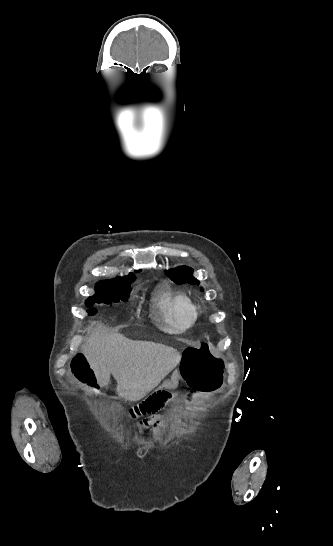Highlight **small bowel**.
<instances>
[{"label": "small bowel", "mask_w": 333, "mask_h": 546, "mask_svg": "<svg viewBox=\"0 0 333 546\" xmlns=\"http://www.w3.org/2000/svg\"><path fill=\"white\" fill-rule=\"evenodd\" d=\"M178 371H173L172 375L168 379L164 380H158L157 381V387H155V392L161 393L163 391V388H169V389H175L178 386L179 375ZM144 419L139 421L142 426H154L159 427L160 424L163 422V416L158 413V410H156L155 413H153L152 416L148 417L144 414Z\"/></svg>", "instance_id": "c3829d8e"}]
</instances>
